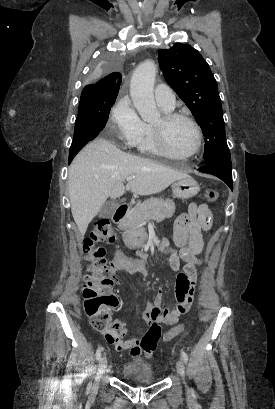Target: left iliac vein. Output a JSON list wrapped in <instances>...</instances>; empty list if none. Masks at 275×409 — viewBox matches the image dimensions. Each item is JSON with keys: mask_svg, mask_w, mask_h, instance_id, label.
Listing matches in <instances>:
<instances>
[{"mask_svg": "<svg viewBox=\"0 0 275 409\" xmlns=\"http://www.w3.org/2000/svg\"><path fill=\"white\" fill-rule=\"evenodd\" d=\"M177 373L184 378L185 377V367L182 360H179L176 365Z\"/></svg>", "mask_w": 275, "mask_h": 409, "instance_id": "4c4485c4", "label": "left iliac vein"}]
</instances>
